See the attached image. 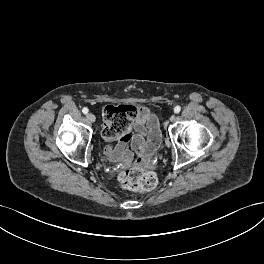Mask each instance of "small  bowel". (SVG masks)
Here are the masks:
<instances>
[{"label":"small bowel","instance_id":"small-bowel-1","mask_svg":"<svg viewBox=\"0 0 264 264\" xmlns=\"http://www.w3.org/2000/svg\"><path fill=\"white\" fill-rule=\"evenodd\" d=\"M105 124L104 120L103 126ZM132 128L135 131L133 134L130 131L113 139L117 140L116 144L108 146L106 150L114 161H120L124 165H129L133 159V154L128 149L129 145L140 157H145L156 150L161 139L158 118L147 107L136 108Z\"/></svg>","mask_w":264,"mask_h":264}]
</instances>
